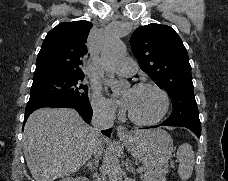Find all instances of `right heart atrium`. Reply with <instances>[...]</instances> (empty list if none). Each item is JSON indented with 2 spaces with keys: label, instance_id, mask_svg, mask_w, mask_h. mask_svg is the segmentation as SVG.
Instances as JSON below:
<instances>
[{
  "label": "right heart atrium",
  "instance_id": "d8ad5b80",
  "mask_svg": "<svg viewBox=\"0 0 228 181\" xmlns=\"http://www.w3.org/2000/svg\"><path fill=\"white\" fill-rule=\"evenodd\" d=\"M92 105L96 112L104 116L113 114V105L102 93L100 87H94L92 90Z\"/></svg>",
  "mask_w": 228,
  "mask_h": 181
}]
</instances>
